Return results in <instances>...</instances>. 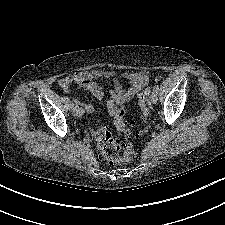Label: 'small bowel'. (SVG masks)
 <instances>
[{
	"mask_svg": "<svg viewBox=\"0 0 225 225\" xmlns=\"http://www.w3.org/2000/svg\"><path fill=\"white\" fill-rule=\"evenodd\" d=\"M121 77L129 82L127 87L120 84L119 77L115 72L99 69L66 75L59 79L58 85L64 91H69V87L76 84L89 91L95 98L102 99L104 87L100 81L112 80L114 87L109 91L107 99V107L110 110L112 107H120L130 102L148 83L147 74L143 71L125 72ZM75 101L81 106V115L91 112V106L77 99Z\"/></svg>",
	"mask_w": 225,
	"mask_h": 225,
	"instance_id": "1",
	"label": "small bowel"
}]
</instances>
